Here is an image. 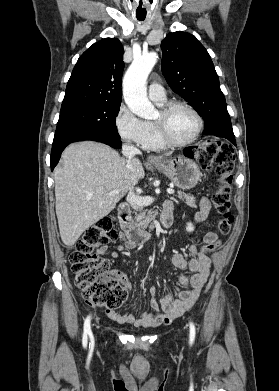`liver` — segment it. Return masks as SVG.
<instances>
[{"mask_svg":"<svg viewBox=\"0 0 279 391\" xmlns=\"http://www.w3.org/2000/svg\"><path fill=\"white\" fill-rule=\"evenodd\" d=\"M132 163L134 172L117 151L93 141L74 143L64 150L54 180L56 215L65 245L73 246L85 230L115 208L134 183L144 178L141 162L135 158ZM113 190L120 193L110 196Z\"/></svg>","mask_w":279,"mask_h":391,"instance_id":"obj_1","label":"liver"}]
</instances>
